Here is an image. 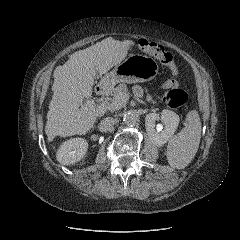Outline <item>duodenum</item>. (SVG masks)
<instances>
[{"instance_id": "duodenum-1", "label": "duodenum", "mask_w": 240, "mask_h": 240, "mask_svg": "<svg viewBox=\"0 0 240 240\" xmlns=\"http://www.w3.org/2000/svg\"><path fill=\"white\" fill-rule=\"evenodd\" d=\"M108 92V87L106 85H100L96 88V94L98 96H104Z\"/></svg>"}]
</instances>
